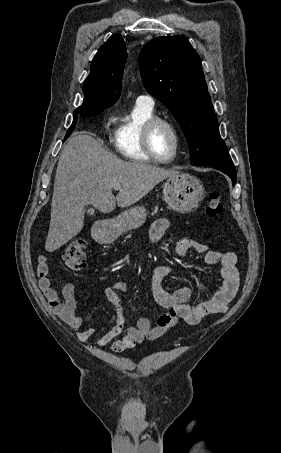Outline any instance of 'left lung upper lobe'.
<instances>
[{"mask_svg":"<svg viewBox=\"0 0 281 453\" xmlns=\"http://www.w3.org/2000/svg\"><path fill=\"white\" fill-rule=\"evenodd\" d=\"M140 70L149 94L160 100L179 123L194 166L232 164L202 71L187 39L157 37L140 54Z\"/></svg>","mask_w":281,"mask_h":453,"instance_id":"1","label":"left lung upper lobe"}]
</instances>
